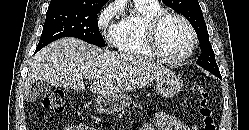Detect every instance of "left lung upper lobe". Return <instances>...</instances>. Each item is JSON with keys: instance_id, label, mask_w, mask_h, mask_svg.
<instances>
[{"instance_id": "left-lung-upper-lobe-1", "label": "left lung upper lobe", "mask_w": 249, "mask_h": 130, "mask_svg": "<svg viewBox=\"0 0 249 130\" xmlns=\"http://www.w3.org/2000/svg\"><path fill=\"white\" fill-rule=\"evenodd\" d=\"M163 2L168 7L183 14L195 29L201 48V55L196 63L221 78L198 0H163Z\"/></svg>"}]
</instances>
